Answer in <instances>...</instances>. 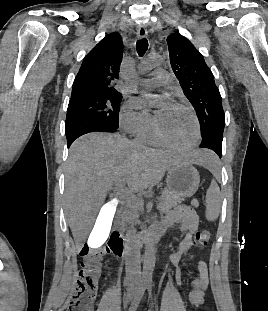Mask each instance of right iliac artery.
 I'll return each mask as SVG.
<instances>
[{
	"label": "right iliac artery",
	"instance_id": "82829eb1",
	"mask_svg": "<svg viewBox=\"0 0 268 311\" xmlns=\"http://www.w3.org/2000/svg\"><path fill=\"white\" fill-rule=\"evenodd\" d=\"M147 285H148L147 280L143 279L141 281V283H140V286L138 288L137 294H136L134 300L131 303L129 311H136V309H137V307H138V305H139V303L141 301V298H142V296H143V294H144V292H145V290L147 288Z\"/></svg>",
	"mask_w": 268,
	"mask_h": 311
}]
</instances>
